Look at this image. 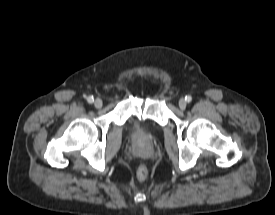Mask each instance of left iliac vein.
Instances as JSON below:
<instances>
[{
    "instance_id": "4c4485c4",
    "label": "left iliac vein",
    "mask_w": 275,
    "mask_h": 215,
    "mask_svg": "<svg viewBox=\"0 0 275 215\" xmlns=\"http://www.w3.org/2000/svg\"><path fill=\"white\" fill-rule=\"evenodd\" d=\"M187 106V102L182 98L179 100V107L180 109L184 110Z\"/></svg>"
}]
</instances>
